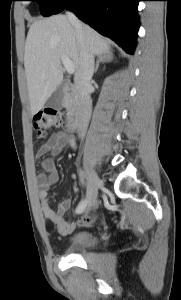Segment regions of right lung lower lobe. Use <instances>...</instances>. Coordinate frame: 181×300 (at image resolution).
<instances>
[{
	"label": "right lung lower lobe",
	"instance_id": "obj_1",
	"mask_svg": "<svg viewBox=\"0 0 181 300\" xmlns=\"http://www.w3.org/2000/svg\"><path fill=\"white\" fill-rule=\"evenodd\" d=\"M141 0H67L64 9L102 35L115 40L127 53L133 54L139 28L137 7Z\"/></svg>",
	"mask_w": 181,
	"mask_h": 300
}]
</instances>
